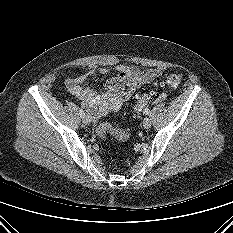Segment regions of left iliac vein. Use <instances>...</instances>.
Returning <instances> with one entry per match:
<instances>
[{"instance_id": "1", "label": "left iliac vein", "mask_w": 233, "mask_h": 233, "mask_svg": "<svg viewBox=\"0 0 233 233\" xmlns=\"http://www.w3.org/2000/svg\"><path fill=\"white\" fill-rule=\"evenodd\" d=\"M142 124L143 127L147 129L151 126V120L149 118H144Z\"/></svg>"}]
</instances>
